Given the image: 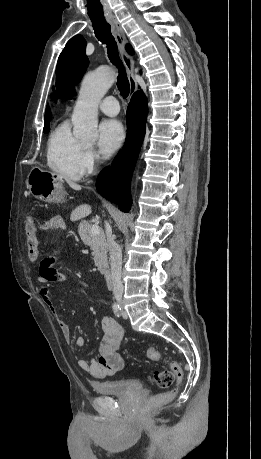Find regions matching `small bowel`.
<instances>
[{"instance_id": "1", "label": "small bowel", "mask_w": 261, "mask_h": 459, "mask_svg": "<svg viewBox=\"0 0 261 459\" xmlns=\"http://www.w3.org/2000/svg\"><path fill=\"white\" fill-rule=\"evenodd\" d=\"M45 231L64 229L65 223L60 217L53 216L42 225ZM39 241V240H38ZM55 257H47L40 262L38 292L56 316L60 331L68 344L73 342L69 326L62 321L48 292V287L54 282H69V278L54 268ZM103 336L99 344L98 359H80L79 367L94 378H105L115 374L123 367V360L118 352L123 337L122 326L110 316H105L101 322ZM78 347L85 346V338L75 340Z\"/></svg>"}]
</instances>
